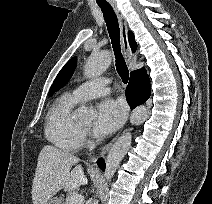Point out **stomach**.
<instances>
[{"label": "stomach", "instance_id": "obj_1", "mask_svg": "<svg viewBox=\"0 0 212 204\" xmlns=\"http://www.w3.org/2000/svg\"><path fill=\"white\" fill-rule=\"evenodd\" d=\"M46 204H61V202L58 199H50Z\"/></svg>", "mask_w": 212, "mask_h": 204}]
</instances>
